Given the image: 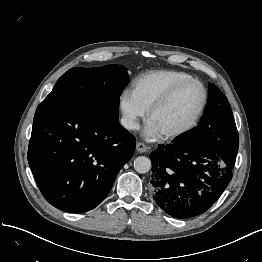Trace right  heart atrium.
Listing matches in <instances>:
<instances>
[{
  "label": "right heart atrium",
  "instance_id": "obj_1",
  "mask_svg": "<svg viewBox=\"0 0 262 262\" xmlns=\"http://www.w3.org/2000/svg\"><path fill=\"white\" fill-rule=\"evenodd\" d=\"M119 109L122 115V124L128 130H136L139 122L146 115V110L138 102L133 91L124 90L119 98Z\"/></svg>",
  "mask_w": 262,
  "mask_h": 262
}]
</instances>
